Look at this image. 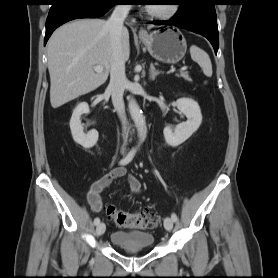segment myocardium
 Instances as JSON below:
<instances>
[{"label":"myocardium","mask_w":278,"mask_h":278,"mask_svg":"<svg viewBox=\"0 0 278 278\" xmlns=\"http://www.w3.org/2000/svg\"><path fill=\"white\" fill-rule=\"evenodd\" d=\"M179 11V5L177 3H173L169 5V8L164 11H156L150 7H146V13L156 19L160 20H168L173 18Z\"/></svg>","instance_id":"1"}]
</instances>
